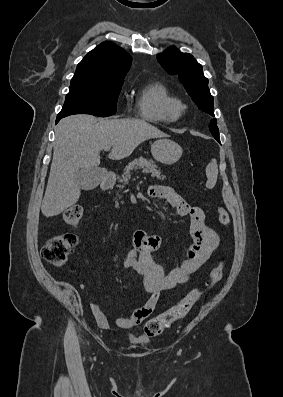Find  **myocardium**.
Segmentation results:
<instances>
[{
  "mask_svg": "<svg viewBox=\"0 0 283 397\" xmlns=\"http://www.w3.org/2000/svg\"><path fill=\"white\" fill-rule=\"evenodd\" d=\"M174 110L177 115L180 116L187 110V106L182 101L177 100L174 105Z\"/></svg>",
  "mask_w": 283,
  "mask_h": 397,
  "instance_id": "obj_1",
  "label": "myocardium"
}]
</instances>
